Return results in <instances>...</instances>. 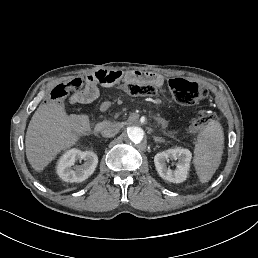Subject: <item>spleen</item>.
I'll list each match as a JSON object with an SVG mask.
<instances>
[{
    "mask_svg": "<svg viewBox=\"0 0 258 258\" xmlns=\"http://www.w3.org/2000/svg\"><path fill=\"white\" fill-rule=\"evenodd\" d=\"M223 146V130L217 121H211L197 135L194 164L201 182H208L214 175L221 162Z\"/></svg>",
    "mask_w": 258,
    "mask_h": 258,
    "instance_id": "spleen-1",
    "label": "spleen"
}]
</instances>
